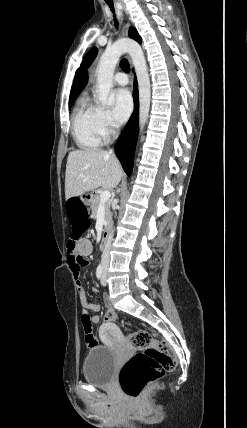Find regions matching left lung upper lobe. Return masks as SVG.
<instances>
[{
    "label": "left lung upper lobe",
    "mask_w": 247,
    "mask_h": 428,
    "mask_svg": "<svg viewBox=\"0 0 247 428\" xmlns=\"http://www.w3.org/2000/svg\"><path fill=\"white\" fill-rule=\"evenodd\" d=\"M96 55H97V49L96 48L91 49L84 57V60L80 68L77 70V72L80 71L83 67L89 66L94 60V58L96 57Z\"/></svg>",
    "instance_id": "5c2ea615"
}]
</instances>
